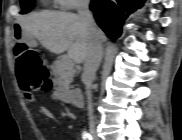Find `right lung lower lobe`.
<instances>
[{
	"label": "right lung lower lobe",
	"mask_w": 182,
	"mask_h": 140,
	"mask_svg": "<svg viewBox=\"0 0 182 140\" xmlns=\"http://www.w3.org/2000/svg\"><path fill=\"white\" fill-rule=\"evenodd\" d=\"M145 0H94L90 9L98 25L111 39L121 35L124 20L141 8Z\"/></svg>",
	"instance_id": "right-lung-lower-lobe-1"
}]
</instances>
